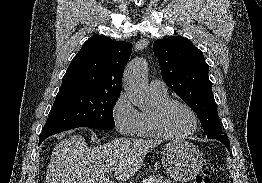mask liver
<instances>
[{
	"label": "liver",
	"mask_w": 262,
	"mask_h": 183,
	"mask_svg": "<svg viewBox=\"0 0 262 183\" xmlns=\"http://www.w3.org/2000/svg\"><path fill=\"white\" fill-rule=\"evenodd\" d=\"M159 140L116 138L89 148L82 135H72L54 148L47 183H112L106 177L114 171L118 181H125L141 168L145 155L156 147Z\"/></svg>",
	"instance_id": "1"
}]
</instances>
